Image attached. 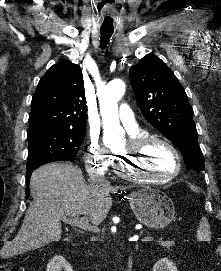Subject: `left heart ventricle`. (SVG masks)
Returning a JSON list of instances; mask_svg holds the SVG:
<instances>
[{
	"instance_id": "left-heart-ventricle-1",
	"label": "left heart ventricle",
	"mask_w": 221,
	"mask_h": 271,
	"mask_svg": "<svg viewBox=\"0 0 221 271\" xmlns=\"http://www.w3.org/2000/svg\"><path fill=\"white\" fill-rule=\"evenodd\" d=\"M151 141H160L158 139H148L140 144L139 156H131V160H117V165H127V167H141L149 169L150 172L171 173L174 176V166H172L171 153H168L170 147H160V144H152ZM160 170V171H159Z\"/></svg>"
}]
</instances>
